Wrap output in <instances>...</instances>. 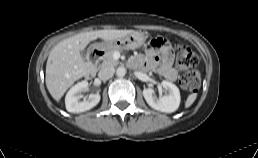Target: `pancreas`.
<instances>
[{
    "label": "pancreas",
    "mask_w": 258,
    "mask_h": 158,
    "mask_svg": "<svg viewBox=\"0 0 258 158\" xmlns=\"http://www.w3.org/2000/svg\"><path fill=\"white\" fill-rule=\"evenodd\" d=\"M117 51H121V49L113 48L108 50L102 57V66H117L119 61L113 58V54Z\"/></svg>",
    "instance_id": "cf45deb5"
}]
</instances>
